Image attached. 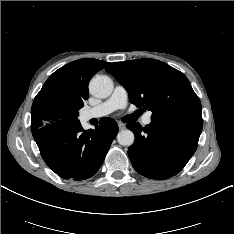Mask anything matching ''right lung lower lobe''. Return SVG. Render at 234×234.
<instances>
[{
  "label": "right lung lower lobe",
  "instance_id": "1",
  "mask_svg": "<svg viewBox=\"0 0 234 234\" xmlns=\"http://www.w3.org/2000/svg\"><path fill=\"white\" fill-rule=\"evenodd\" d=\"M118 133L109 117L95 129L83 130L80 121L56 122L32 129L40 154L57 175L76 181L92 177L101 167Z\"/></svg>",
  "mask_w": 234,
  "mask_h": 234
}]
</instances>
